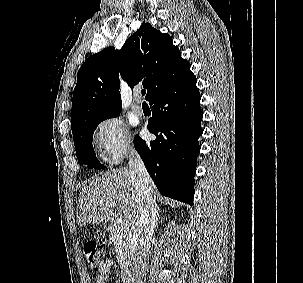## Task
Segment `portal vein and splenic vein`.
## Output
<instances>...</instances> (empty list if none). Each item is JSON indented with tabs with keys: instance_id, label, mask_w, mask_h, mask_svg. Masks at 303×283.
Wrapping results in <instances>:
<instances>
[{
	"instance_id": "portal-vein-and-splenic-vein-1",
	"label": "portal vein and splenic vein",
	"mask_w": 303,
	"mask_h": 283,
	"mask_svg": "<svg viewBox=\"0 0 303 283\" xmlns=\"http://www.w3.org/2000/svg\"><path fill=\"white\" fill-rule=\"evenodd\" d=\"M121 224L124 226V227H126V228H129V221H127V220H123V221H121Z\"/></svg>"
}]
</instances>
